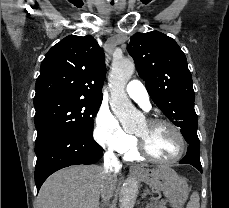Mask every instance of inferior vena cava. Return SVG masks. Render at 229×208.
Segmentation results:
<instances>
[{
    "instance_id": "1",
    "label": "inferior vena cava",
    "mask_w": 229,
    "mask_h": 208,
    "mask_svg": "<svg viewBox=\"0 0 229 208\" xmlns=\"http://www.w3.org/2000/svg\"><path fill=\"white\" fill-rule=\"evenodd\" d=\"M117 166H119V162L117 158H115L113 152H105L104 154V170L102 172L104 178H112L114 182L117 180ZM113 192H111V188L107 182H103L101 186V196L103 200L102 208H104L105 204H107L108 200H110Z\"/></svg>"
}]
</instances>
